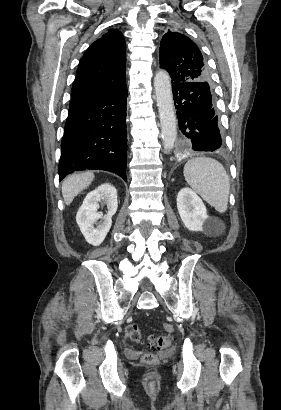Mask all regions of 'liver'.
Listing matches in <instances>:
<instances>
[{
    "mask_svg": "<svg viewBox=\"0 0 281 410\" xmlns=\"http://www.w3.org/2000/svg\"><path fill=\"white\" fill-rule=\"evenodd\" d=\"M94 179L93 172L73 174L66 178L62 184V195L66 205L71 204L75 196L86 189Z\"/></svg>",
    "mask_w": 281,
    "mask_h": 410,
    "instance_id": "1",
    "label": "liver"
}]
</instances>
